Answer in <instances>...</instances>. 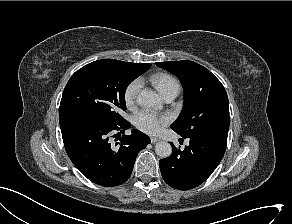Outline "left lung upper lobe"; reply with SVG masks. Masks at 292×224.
Masks as SVG:
<instances>
[{
    "label": "left lung upper lobe",
    "mask_w": 292,
    "mask_h": 224,
    "mask_svg": "<svg viewBox=\"0 0 292 224\" xmlns=\"http://www.w3.org/2000/svg\"><path fill=\"white\" fill-rule=\"evenodd\" d=\"M155 64L176 75L184 89V108L171 128L182 137L227 142L229 105L221 82L209 70L193 61Z\"/></svg>",
    "instance_id": "1"
}]
</instances>
